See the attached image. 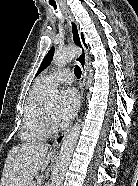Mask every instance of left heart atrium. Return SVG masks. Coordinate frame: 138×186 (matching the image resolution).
I'll list each match as a JSON object with an SVG mask.
<instances>
[{"instance_id": "1", "label": "left heart atrium", "mask_w": 138, "mask_h": 186, "mask_svg": "<svg viewBox=\"0 0 138 186\" xmlns=\"http://www.w3.org/2000/svg\"><path fill=\"white\" fill-rule=\"evenodd\" d=\"M79 104L78 93L73 88H67L62 93V101L59 109L56 111L54 120L60 125H66L74 116Z\"/></svg>"}]
</instances>
